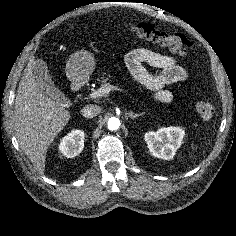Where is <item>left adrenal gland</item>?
<instances>
[{
  "label": "left adrenal gland",
  "instance_id": "a2214340",
  "mask_svg": "<svg viewBox=\"0 0 236 236\" xmlns=\"http://www.w3.org/2000/svg\"><path fill=\"white\" fill-rule=\"evenodd\" d=\"M127 115H128L131 119H135V118H137V117H139V116L144 115V113H143V112H142V113H134L133 111H130V112L127 113Z\"/></svg>",
  "mask_w": 236,
  "mask_h": 236
}]
</instances>
